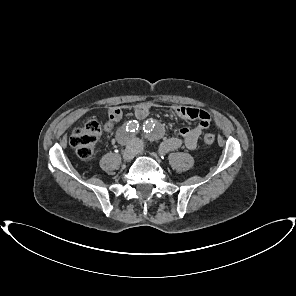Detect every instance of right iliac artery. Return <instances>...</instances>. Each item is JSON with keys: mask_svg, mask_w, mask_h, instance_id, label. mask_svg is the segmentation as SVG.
I'll return each mask as SVG.
<instances>
[{"mask_svg": "<svg viewBox=\"0 0 296 296\" xmlns=\"http://www.w3.org/2000/svg\"><path fill=\"white\" fill-rule=\"evenodd\" d=\"M139 123L136 120L129 121L122 129L119 131L118 140L120 144L124 145L129 141L128 133H134L138 130Z\"/></svg>", "mask_w": 296, "mask_h": 296, "instance_id": "1", "label": "right iliac artery"}]
</instances>
